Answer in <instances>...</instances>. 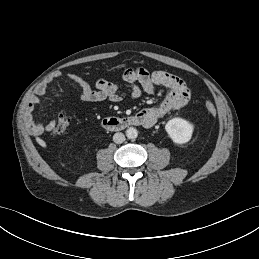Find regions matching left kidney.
I'll return each instance as SVG.
<instances>
[{
	"mask_svg": "<svg viewBox=\"0 0 259 259\" xmlns=\"http://www.w3.org/2000/svg\"><path fill=\"white\" fill-rule=\"evenodd\" d=\"M165 130L175 144H186L190 141L194 126L182 118H173L165 125Z\"/></svg>",
	"mask_w": 259,
	"mask_h": 259,
	"instance_id": "5707ae66",
	"label": "left kidney"
}]
</instances>
